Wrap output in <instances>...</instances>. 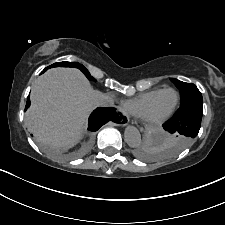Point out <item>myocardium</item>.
<instances>
[{"mask_svg":"<svg viewBox=\"0 0 225 225\" xmlns=\"http://www.w3.org/2000/svg\"><path fill=\"white\" fill-rule=\"evenodd\" d=\"M167 91H172L176 94V102L174 104V106L164 115L154 118L150 115L151 109L154 105V103L156 102V100L159 98L160 95H162L163 93L167 92ZM180 103V94L177 90H175L174 88H164L161 89L155 96L154 98L150 101V103L147 105L145 111L143 112V114L141 115V119L143 120V122L147 125V126H159L162 125L163 123H165L166 121H168L172 115L174 114V112L176 111L178 105Z\"/></svg>","mask_w":225,"mask_h":225,"instance_id":"obj_1","label":"myocardium"}]
</instances>
